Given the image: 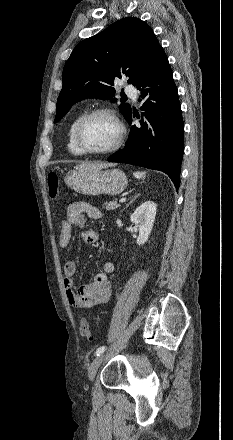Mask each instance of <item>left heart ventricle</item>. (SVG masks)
Masks as SVG:
<instances>
[{"label":"left heart ventricle","instance_id":"left-heart-ventricle-1","mask_svg":"<svg viewBox=\"0 0 233 440\" xmlns=\"http://www.w3.org/2000/svg\"><path fill=\"white\" fill-rule=\"evenodd\" d=\"M117 135L118 129L113 120L106 115H97L85 123L81 141L88 149L104 150L115 142Z\"/></svg>","mask_w":233,"mask_h":440}]
</instances>
